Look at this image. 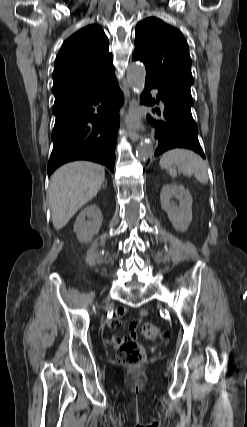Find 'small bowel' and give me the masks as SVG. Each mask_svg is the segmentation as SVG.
I'll return each instance as SVG.
<instances>
[{
	"instance_id": "c3829d8e",
	"label": "small bowel",
	"mask_w": 247,
	"mask_h": 427,
	"mask_svg": "<svg viewBox=\"0 0 247 427\" xmlns=\"http://www.w3.org/2000/svg\"><path fill=\"white\" fill-rule=\"evenodd\" d=\"M127 314L126 309L124 308H119L116 310L115 312V316L114 319L112 321V323L110 324L111 327H116L120 324L121 319ZM148 314L146 309H141L138 313L139 318L134 319L130 324H129V333L128 335L124 336V337H118V336H114L111 338V341L116 344V345H121L124 342H128V341H134L137 338V327L139 325L140 319L145 317Z\"/></svg>"
}]
</instances>
